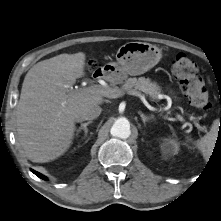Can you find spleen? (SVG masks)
Listing matches in <instances>:
<instances>
[{"label":"spleen","instance_id":"3e777b00","mask_svg":"<svg viewBox=\"0 0 221 221\" xmlns=\"http://www.w3.org/2000/svg\"><path fill=\"white\" fill-rule=\"evenodd\" d=\"M218 121H214L211 131L204 137L197 141L196 145L201 150L203 156L207 159L213 150L215 145L217 133H218Z\"/></svg>","mask_w":221,"mask_h":221}]
</instances>
